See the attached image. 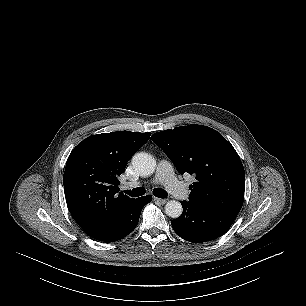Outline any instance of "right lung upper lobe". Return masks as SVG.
I'll return each mask as SVG.
<instances>
[{
  "label": "right lung upper lobe",
  "instance_id": "1",
  "mask_svg": "<svg viewBox=\"0 0 306 306\" xmlns=\"http://www.w3.org/2000/svg\"><path fill=\"white\" fill-rule=\"evenodd\" d=\"M151 133L119 131L92 135L70 153L63 176L68 209L90 237L109 228L133 198L117 194L118 177Z\"/></svg>",
  "mask_w": 306,
  "mask_h": 306
}]
</instances>
